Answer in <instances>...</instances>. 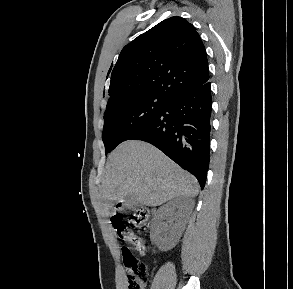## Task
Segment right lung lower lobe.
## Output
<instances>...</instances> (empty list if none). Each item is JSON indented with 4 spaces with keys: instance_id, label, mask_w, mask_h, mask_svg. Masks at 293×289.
Returning a JSON list of instances; mask_svg holds the SVG:
<instances>
[{
    "instance_id": "right-lung-lower-lobe-1",
    "label": "right lung lower lobe",
    "mask_w": 293,
    "mask_h": 289,
    "mask_svg": "<svg viewBox=\"0 0 293 289\" xmlns=\"http://www.w3.org/2000/svg\"><path fill=\"white\" fill-rule=\"evenodd\" d=\"M211 103L210 82L182 92L127 140L153 144L193 174L204 188L209 166Z\"/></svg>"
}]
</instances>
